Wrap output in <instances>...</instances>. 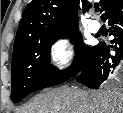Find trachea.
<instances>
[{
    "mask_svg": "<svg viewBox=\"0 0 123 113\" xmlns=\"http://www.w3.org/2000/svg\"><path fill=\"white\" fill-rule=\"evenodd\" d=\"M99 10H100L99 6H95V11L99 12Z\"/></svg>",
    "mask_w": 123,
    "mask_h": 113,
    "instance_id": "obj_1",
    "label": "trachea"
}]
</instances>
